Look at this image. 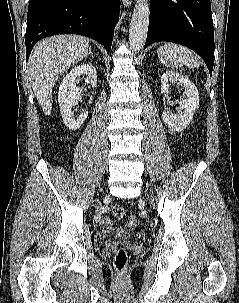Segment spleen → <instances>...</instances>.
<instances>
[{
    "label": "spleen",
    "mask_w": 239,
    "mask_h": 303,
    "mask_svg": "<svg viewBox=\"0 0 239 303\" xmlns=\"http://www.w3.org/2000/svg\"><path fill=\"white\" fill-rule=\"evenodd\" d=\"M157 53L161 63L166 67L178 68L186 65L195 68L200 65V60L197 55L187 47L175 43H165L158 48Z\"/></svg>",
    "instance_id": "spleen-1"
}]
</instances>
